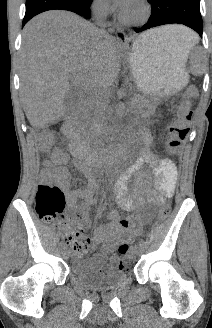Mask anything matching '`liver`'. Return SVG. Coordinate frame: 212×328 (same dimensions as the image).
Here are the masks:
<instances>
[{
	"label": "liver",
	"instance_id": "6515ba94",
	"mask_svg": "<svg viewBox=\"0 0 212 328\" xmlns=\"http://www.w3.org/2000/svg\"><path fill=\"white\" fill-rule=\"evenodd\" d=\"M144 35L164 39L183 49L194 32L167 25ZM118 43L78 15L60 10L41 13L23 30L19 72L21 100L28 121L41 129L67 110L64 98L75 80L85 90L101 94L118 71ZM80 78H74L75 74Z\"/></svg>",
	"mask_w": 212,
	"mask_h": 328
}]
</instances>
